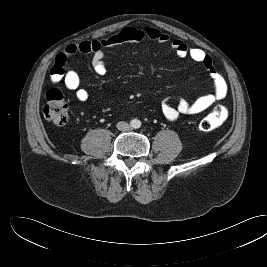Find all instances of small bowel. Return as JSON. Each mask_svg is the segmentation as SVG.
<instances>
[{
    "mask_svg": "<svg viewBox=\"0 0 267 267\" xmlns=\"http://www.w3.org/2000/svg\"><path fill=\"white\" fill-rule=\"evenodd\" d=\"M145 39L162 44H170L178 57H189L193 61L203 64L212 80V91L194 101H187L182 97L166 99L162 104V112L167 120L176 122L181 115L202 113L214 102L226 96L227 83L214 68L211 57L205 51L198 47L188 46L179 39H171L168 34L152 27H127L100 40L83 41L79 44L68 46L57 55L50 70V78L53 83L63 82L67 89L75 92V96L80 102L85 103L89 99V94L84 88L80 87L78 73L73 69H66L68 61L77 54H90L92 56L91 64L95 73L99 76H104L107 73L104 61V51L107 48L124 42H139Z\"/></svg>",
    "mask_w": 267,
    "mask_h": 267,
    "instance_id": "c3829d8e",
    "label": "small bowel"
}]
</instances>
